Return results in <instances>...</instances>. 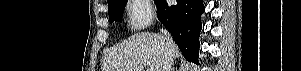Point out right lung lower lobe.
<instances>
[{
  "label": "right lung lower lobe",
  "instance_id": "right-lung-lower-lobe-1",
  "mask_svg": "<svg viewBox=\"0 0 301 71\" xmlns=\"http://www.w3.org/2000/svg\"><path fill=\"white\" fill-rule=\"evenodd\" d=\"M176 1V5L169 6L166 0H156L158 19L172 33L183 56L198 64L203 0Z\"/></svg>",
  "mask_w": 301,
  "mask_h": 71
}]
</instances>
